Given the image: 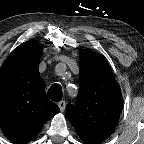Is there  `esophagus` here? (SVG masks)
<instances>
[{"label":"esophagus","mask_w":144,"mask_h":144,"mask_svg":"<svg viewBox=\"0 0 144 144\" xmlns=\"http://www.w3.org/2000/svg\"><path fill=\"white\" fill-rule=\"evenodd\" d=\"M58 107L60 108V111H61V112H64L65 107H66V102H65L64 100L60 101V102L58 103Z\"/></svg>","instance_id":"1"}]
</instances>
